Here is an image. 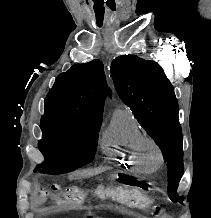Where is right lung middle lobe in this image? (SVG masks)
Here are the masks:
<instances>
[{
    "label": "right lung middle lobe",
    "instance_id": "dd1d6c3e",
    "mask_svg": "<svg viewBox=\"0 0 211 218\" xmlns=\"http://www.w3.org/2000/svg\"><path fill=\"white\" fill-rule=\"evenodd\" d=\"M102 119H87L74 116L44 114L41 118L43 139L40 143L71 144L83 150L81 161L57 165L54 174L75 170L90 163L96 151L98 131Z\"/></svg>",
    "mask_w": 211,
    "mask_h": 218
}]
</instances>
